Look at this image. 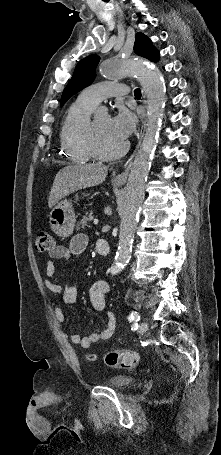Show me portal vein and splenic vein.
<instances>
[{
	"mask_svg": "<svg viewBox=\"0 0 221 455\" xmlns=\"http://www.w3.org/2000/svg\"><path fill=\"white\" fill-rule=\"evenodd\" d=\"M98 222H99V221H98V219H96V218L93 220V223H94L95 225H97Z\"/></svg>",
	"mask_w": 221,
	"mask_h": 455,
	"instance_id": "1",
	"label": "portal vein and splenic vein"
}]
</instances>
